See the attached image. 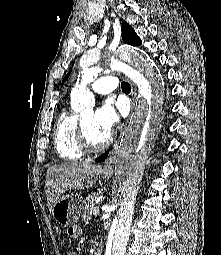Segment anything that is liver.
I'll return each instance as SVG.
<instances>
[{
  "label": "liver",
  "instance_id": "6515ba94",
  "mask_svg": "<svg viewBox=\"0 0 221 255\" xmlns=\"http://www.w3.org/2000/svg\"><path fill=\"white\" fill-rule=\"evenodd\" d=\"M101 172V166L91 162H69L48 168L45 179V194L49 210H52L54 203L67 190L92 188Z\"/></svg>",
  "mask_w": 221,
  "mask_h": 255
}]
</instances>
